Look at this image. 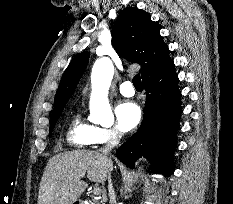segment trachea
Listing matches in <instances>:
<instances>
[{
    "label": "trachea",
    "mask_w": 233,
    "mask_h": 204,
    "mask_svg": "<svg viewBox=\"0 0 233 204\" xmlns=\"http://www.w3.org/2000/svg\"><path fill=\"white\" fill-rule=\"evenodd\" d=\"M133 85L136 89H143V85L141 82L140 74H136L132 80Z\"/></svg>",
    "instance_id": "obj_1"
}]
</instances>
